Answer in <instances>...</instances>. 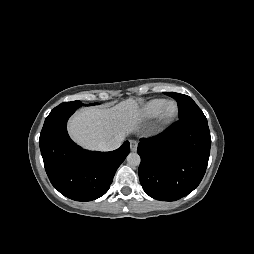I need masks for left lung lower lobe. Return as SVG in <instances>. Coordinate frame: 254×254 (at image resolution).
I'll return each mask as SVG.
<instances>
[{
	"mask_svg": "<svg viewBox=\"0 0 254 254\" xmlns=\"http://www.w3.org/2000/svg\"><path fill=\"white\" fill-rule=\"evenodd\" d=\"M207 119H180L161 134L142 138L139 178L152 198L175 201L191 193L201 182L210 155Z\"/></svg>",
	"mask_w": 254,
	"mask_h": 254,
	"instance_id": "1",
	"label": "left lung lower lobe"
}]
</instances>
